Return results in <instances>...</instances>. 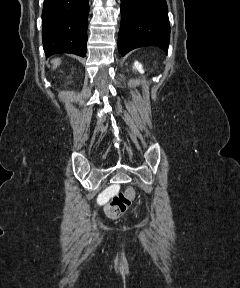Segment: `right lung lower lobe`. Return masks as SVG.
Instances as JSON below:
<instances>
[{
  "label": "right lung lower lobe",
  "instance_id": "right-lung-lower-lobe-1",
  "mask_svg": "<svg viewBox=\"0 0 240 288\" xmlns=\"http://www.w3.org/2000/svg\"><path fill=\"white\" fill-rule=\"evenodd\" d=\"M88 0H44L42 40L46 56L87 51Z\"/></svg>",
  "mask_w": 240,
  "mask_h": 288
}]
</instances>
